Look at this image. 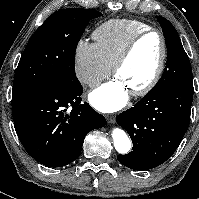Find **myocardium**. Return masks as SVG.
<instances>
[{
    "label": "myocardium",
    "mask_w": 199,
    "mask_h": 199,
    "mask_svg": "<svg viewBox=\"0 0 199 199\" xmlns=\"http://www.w3.org/2000/svg\"><path fill=\"white\" fill-rule=\"evenodd\" d=\"M155 34L159 37L160 43H161V55L160 59L157 65V68L152 75V77L149 79L147 83H145L143 86L134 89L131 91V94L134 96H145L148 93H150L156 85L159 83L162 74L165 69L166 65V60H167V55H168V46H167V41L163 35V33L156 29V28H149L139 34H137L135 37H133L128 44L124 47V49L120 52V54L117 56L115 59L112 69H113V74L117 76L118 71L120 67L127 61V59L130 57L138 43L145 38L148 35Z\"/></svg>",
    "instance_id": "f54148a6"
}]
</instances>
